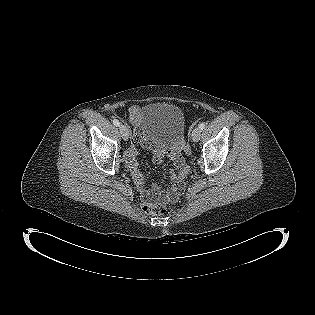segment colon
<instances>
[{
  "label": "colon",
  "mask_w": 315,
  "mask_h": 315,
  "mask_svg": "<svg viewBox=\"0 0 315 315\" xmlns=\"http://www.w3.org/2000/svg\"><path fill=\"white\" fill-rule=\"evenodd\" d=\"M188 171V167L185 163V168L182 171H179V174L176 177L175 183L170 191L164 196V200H173L177 198V196L183 191L184 189V177L186 176ZM158 201V202H150L146 201L142 204V210L151 215L161 216L166 212L167 206L165 201Z\"/></svg>",
  "instance_id": "1"
}]
</instances>
